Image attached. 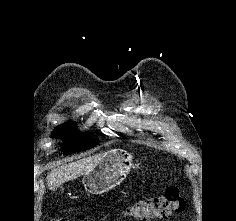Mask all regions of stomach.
<instances>
[{"label": "stomach", "mask_w": 236, "mask_h": 221, "mask_svg": "<svg viewBox=\"0 0 236 221\" xmlns=\"http://www.w3.org/2000/svg\"><path fill=\"white\" fill-rule=\"evenodd\" d=\"M133 165L132 155L119 149L111 150L84 174V187L91 194L107 192L126 178Z\"/></svg>", "instance_id": "stomach-1"}]
</instances>
